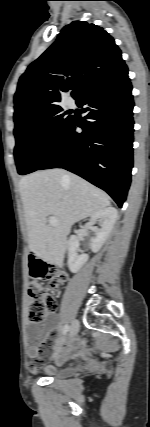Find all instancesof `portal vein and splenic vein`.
I'll return each mask as SVG.
<instances>
[{
	"instance_id": "18ae733b",
	"label": "portal vein and splenic vein",
	"mask_w": 150,
	"mask_h": 427,
	"mask_svg": "<svg viewBox=\"0 0 150 427\" xmlns=\"http://www.w3.org/2000/svg\"><path fill=\"white\" fill-rule=\"evenodd\" d=\"M48 222H49L50 226H56L57 225V220L53 216L49 217Z\"/></svg>"
}]
</instances>
